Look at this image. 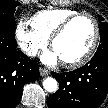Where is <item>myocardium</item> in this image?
I'll use <instances>...</instances> for the list:
<instances>
[{
	"instance_id": "myocardium-1",
	"label": "myocardium",
	"mask_w": 108,
	"mask_h": 108,
	"mask_svg": "<svg viewBox=\"0 0 108 108\" xmlns=\"http://www.w3.org/2000/svg\"><path fill=\"white\" fill-rule=\"evenodd\" d=\"M79 18H88L92 22L93 27H94V37H93L91 45L89 46L87 51L82 56H80L79 58L72 60V61H62L63 66H65L66 68H77L79 66H82L86 62H88L94 55V53L97 49L99 40H100V28H99V23H98L97 19L92 14H90L88 12H78V13L73 14L70 17L66 18L56 28V30L53 32V34L50 37L51 47L53 48L55 41L66 32V30L69 28V26L74 21H76Z\"/></svg>"
}]
</instances>
